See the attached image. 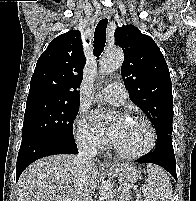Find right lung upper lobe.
<instances>
[{"label":"right lung upper lobe","instance_id":"cb5924a9","mask_svg":"<svg viewBox=\"0 0 196 201\" xmlns=\"http://www.w3.org/2000/svg\"><path fill=\"white\" fill-rule=\"evenodd\" d=\"M85 63L81 33L71 30L59 35L37 61L27 100L80 102L77 89Z\"/></svg>","mask_w":196,"mask_h":201}]
</instances>
